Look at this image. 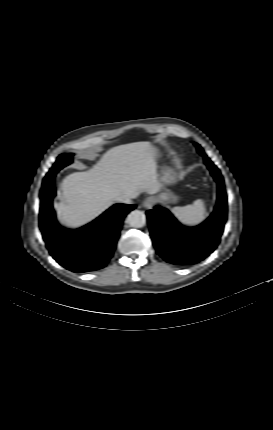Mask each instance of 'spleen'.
I'll return each mask as SVG.
<instances>
[{
	"label": "spleen",
	"mask_w": 273,
	"mask_h": 430,
	"mask_svg": "<svg viewBox=\"0 0 273 430\" xmlns=\"http://www.w3.org/2000/svg\"><path fill=\"white\" fill-rule=\"evenodd\" d=\"M175 218L186 227L200 224L206 217V204L204 200L197 199L193 204L172 208Z\"/></svg>",
	"instance_id": "obj_1"
}]
</instances>
